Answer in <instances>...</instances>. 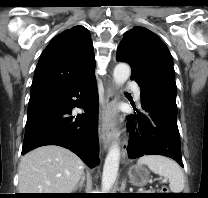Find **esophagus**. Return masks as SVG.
Segmentation results:
<instances>
[{
  "instance_id": "obj_1",
  "label": "esophagus",
  "mask_w": 208,
  "mask_h": 198,
  "mask_svg": "<svg viewBox=\"0 0 208 198\" xmlns=\"http://www.w3.org/2000/svg\"><path fill=\"white\" fill-rule=\"evenodd\" d=\"M116 103V89L110 84L106 88L105 105L100 114V139L105 150L110 147L115 136Z\"/></svg>"
}]
</instances>
